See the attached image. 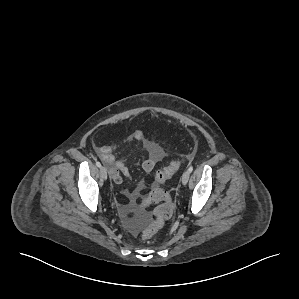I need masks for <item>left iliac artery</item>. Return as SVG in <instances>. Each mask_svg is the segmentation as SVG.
Wrapping results in <instances>:
<instances>
[{"mask_svg": "<svg viewBox=\"0 0 299 299\" xmlns=\"http://www.w3.org/2000/svg\"><path fill=\"white\" fill-rule=\"evenodd\" d=\"M188 171H189L190 173L193 171V166H192V165H190V166L188 167Z\"/></svg>", "mask_w": 299, "mask_h": 299, "instance_id": "1", "label": "left iliac artery"}]
</instances>
